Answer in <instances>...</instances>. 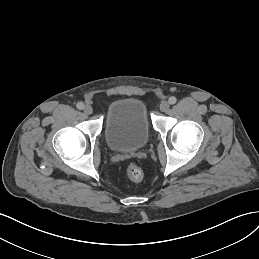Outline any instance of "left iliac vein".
<instances>
[{
	"mask_svg": "<svg viewBox=\"0 0 259 259\" xmlns=\"http://www.w3.org/2000/svg\"><path fill=\"white\" fill-rule=\"evenodd\" d=\"M169 103L167 102V101H163V102H161V104H160V110L162 111V112H167L168 111V109H169Z\"/></svg>",
	"mask_w": 259,
	"mask_h": 259,
	"instance_id": "left-iliac-vein-1",
	"label": "left iliac vein"
}]
</instances>
